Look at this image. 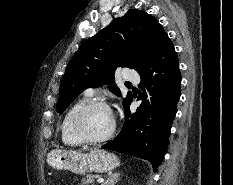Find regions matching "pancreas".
Listing matches in <instances>:
<instances>
[{"label":"pancreas","mask_w":233,"mask_h":185,"mask_svg":"<svg viewBox=\"0 0 233 185\" xmlns=\"http://www.w3.org/2000/svg\"><path fill=\"white\" fill-rule=\"evenodd\" d=\"M99 177V175L88 174L86 177L82 178L80 185H94L95 180Z\"/></svg>","instance_id":"obj_1"}]
</instances>
